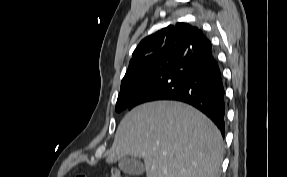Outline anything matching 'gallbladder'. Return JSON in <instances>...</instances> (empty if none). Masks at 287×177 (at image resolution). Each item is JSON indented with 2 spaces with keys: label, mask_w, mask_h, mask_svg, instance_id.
Here are the masks:
<instances>
[{
  "label": "gallbladder",
  "mask_w": 287,
  "mask_h": 177,
  "mask_svg": "<svg viewBox=\"0 0 287 177\" xmlns=\"http://www.w3.org/2000/svg\"><path fill=\"white\" fill-rule=\"evenodd\" d=\"M118 166L124 173L128 175L139 176L144 173V166L142 162L133 156H126L121 158L119 160Z\"/></svg>",
  "instance_id": "1"
}]
</instances>
